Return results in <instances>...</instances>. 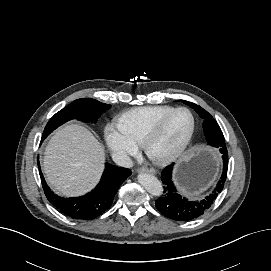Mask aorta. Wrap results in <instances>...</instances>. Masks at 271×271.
Returning a JSON list of instances; mask_svg holds the SVG:
<instances>
[{
	"mask_svg": "<svg viewBox=\"0 0 271 271\" xmlns=\"http://www.w3.org/2000/svg\"><path fill=\"white\" fill-rule=\"evenodd\" d=\"M138 182L153 196H160L163 193L162 183L152 174L140 173L138 175Z\"/></svg>",
	"mask_w": 271,
	"mask_h": 271,
	"instance_id": "1",
	"label": "aorta"
}]
</instances>
